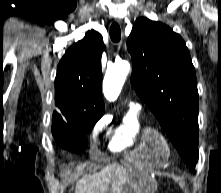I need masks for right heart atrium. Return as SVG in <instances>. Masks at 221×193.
<instances>
[{"label": "right heart atrium", "mask_w": 221, "mask_h": 193, "mask_svg": "<svg viewBox=\"0 0 221 193\" xmlns=\"http://www.w3.org/2000/svg\"><path fill=\"white\" fill-rule=\"evenodd\" d=\"M110 122L109 116L105 115L103 116L94 126L92 130V135L94 138L98 137L104 129L108 126Z\"/></svg>", "instance_id": "1"}]
</instances>
